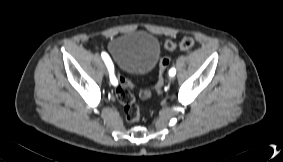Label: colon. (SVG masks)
<instances>
[{
  "mask_svg": "<svg viewBox=\"0 0 283 162\" xmlns=\"http://www.w3.org/2000/svg\"><path fill=\"white\" fill-rule=\"evenodd\" d=\"M195 44V41L192 37H183L180 42L176 43L172 40H166L165 48L169 51H173L176 49L180 50H189ZM170 63V59L168 56H163L159 62V78L157 84L153 90H142L139 93L140 98L149 99L154 94L160 95L163 91L164 86V73ZM133 87L130 80L127 78L118 75L117 76V85L115 87V95L117 100L124 107V114L127 121L131 123L139 122L142 119V107L134 94L131 92V88Z\"/></svg>",
  "mask_w": 283,
  "mask_h": 162,
  "instance_id": "colon-1",
  "label": "colon"
}]
</instances>
